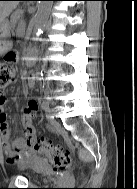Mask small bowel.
Wrapping results in <instances>:
<instances>
[{
	"label": "small bowel",
	"mask_w": 137,
	"mask_h": 189,
	"mask_svg": "<svg viewBox=\"0 0 137 189\" xmlns=\"http://www.w3.org/2000/svg\"><path fill=\"white\" fill-rule=\"evenodd\" d=\"M35 76L28 77L29 86H34ZM6 97L3 92L0 93V142L5 152L7 161L10 164L25 167L31 162L40 161L30 150V145L35 138V127L33 125V114L28 111V104L23 110L24 131L21 137L12 140V133L7 121V115L4 110ZM30 102V101H29ZM28 102V103H29Z\"/></svg>",
	"instance_id": "obj_1"
}]
</instances>
